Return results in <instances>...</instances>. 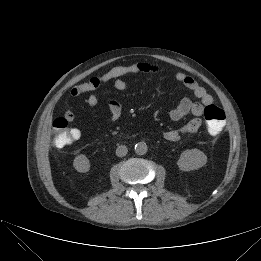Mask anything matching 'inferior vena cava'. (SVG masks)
Returning a JSON list of instances; mask_svg holds the SVG:
<instances>
[{
  "label": "inferior vena cava",
  "mask_w": 261,
  "mask_h": 261,
  "mask_svg": "<svg viewBox=\"0 0 261 261\" xmlns=\"http://www.w3.org/2000/svg\"><path fill=\"white\" fill-rule=\"evenodd\" d=\"M127 152H128V149H127V147L125 145H120L116 149V155L118 157L126 156Z\"/></svg>",
  "instance_id": "inferior-vena-cava-1"
}]
</instances>
